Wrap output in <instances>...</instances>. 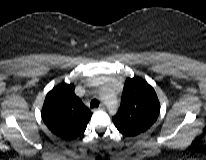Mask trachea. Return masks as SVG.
<instances>
[{
    "label": "trachea",
    "mask_w": 206,
    "mask_h": 160,
    "mask_svg": "<svg viewBox=\"0 0 206 160\" xmlns=\"http://www.w3.org/2000/svg\"><path fill=\"white\" fill-rule=\"evenodd\" d=\"M90 106L92 108L94 107H98L99 106V101L97 99H93L91 102H90Z\"/></svg>",
    "instance_id": "trachea-1"
}]
</instances>
